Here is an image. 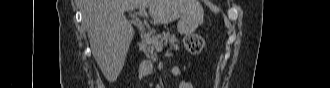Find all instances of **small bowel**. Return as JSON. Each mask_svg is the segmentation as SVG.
Masks as SVG:
<instances>
[{
  "label": "small bowel",
  "instance_id": "obj_1",
  "mask_svg": "<svg viewBox=\"0 0 330 88\" xmlns=\"http://www.w3.org/2000/svg\"><path fill=\"white\" fill-rule=\"evenodd\" d=\"M171 73L176 76V77H181L182 76V71L178 67H173L171 69ZM179 88H193L192 83L189 80L183 79L179 83Z\"/></svg>",
  "mask_w": 330,
  "mask_h": 88
}]
</instances>
